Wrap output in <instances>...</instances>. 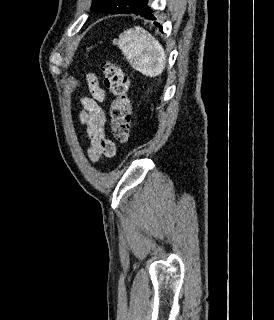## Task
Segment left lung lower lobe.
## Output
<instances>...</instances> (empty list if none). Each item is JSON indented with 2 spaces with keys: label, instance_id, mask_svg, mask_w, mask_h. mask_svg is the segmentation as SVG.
<instances>
[{
  "label": "left lung lower lobe",
  "instance_id": "0a47b994",
  "mask_svg": "<svg viewBox=\"0 0 274 320\" xmlns=\"http://www.w3.org/2000/svg\"><path fill=\"white\" fill-rule=\"evenodd\" d=\"M120 14H129L134 13L136 15H140L141 17H144L149 20H156V18L153 15V11L150 9V7L147 5V0H137L133 5L130 7L124 9L123 11L119 12ZM119 13H113L110 14H119ZM156 26H159L157 22L154 23ZM162 28L160 27V30Z\"/></svg>",
  "mask_w": 274,
  "mask_h": 320
}]
</instances>
